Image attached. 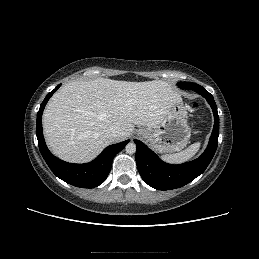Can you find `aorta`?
<instances>
[{"label": "aorta", "instance_id": "aorta-1", "mask_svg": "<svg viewBox=\"0 0 259 259\" xmlns=\"http://www.w3.org/2000/svg\"><path fill=\"white\" fill-rule=\"evenodd\" d=\"M125 150L128 154H134L136 152V145L135 143H128L125 147Z\"/></svg>", "mask_w": 259, "mask_h": 259}]
</instances>
